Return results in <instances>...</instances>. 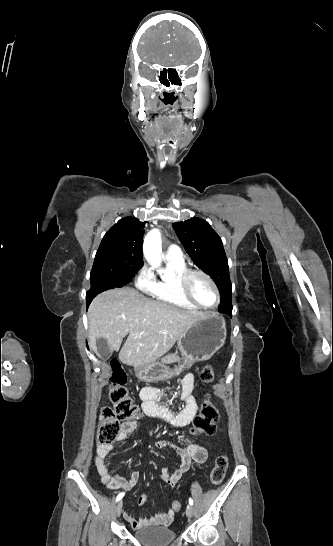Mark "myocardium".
<instances>
[{
	"mask_svg": "<svg viewBox=\"0 0 333 546\" xmlns=\"http://www.w3.org/2000/svg\"><path fill=\"white\" fill-rule=\"evenodd\" d=\"M193 275L202 276L203 278H205L212 285V287L214 288L215 293H216V303L214 305H212V306L202 305L201 303H199L194 298V296L192 295V293L190 291V287H189L190 279H191V277ZM178 284H179V289H180V292H181L182 296L186 300H188L191 304H193L194 306H196L198 308L210 310V309L216 308L220 303L221 294H220V290H219L218 285L216 284L214 279L209 274H207L206 272H204V271H202L200 269H186L184 272H182L180 274V276L178 278Z\"/></svg>",
	"mask_w": 333,
	"mask_h": 546,
	"instance_id": "f54148a6",
	"label": "myocardium"
}]
</instances>
